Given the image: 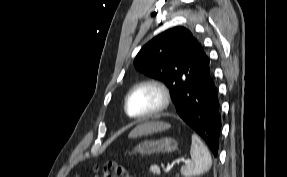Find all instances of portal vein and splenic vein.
<instances>
[{
  "label": "portal vein and splenic vein",
  "instance_id": "portal-vein-and-splenic-vein-1",
  "mask_svg": "<svg viewBox=\"0 0 287 177\" xmlns=\"http://www.w3.org/2000/svg\"><path fill=\"white\" fill-rule=\"evenodd\" d=\"M181 161L187 162V160H184V159H182ZM171 169H172V165L171 164H167L165 172L168 173V172L171 171Z\"/></svg>",
  "mask_w": 287,
  "mask_h": 177
}]
</instances>
